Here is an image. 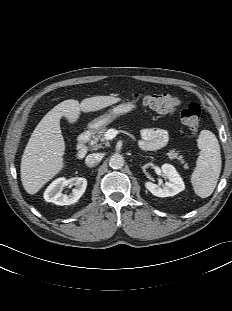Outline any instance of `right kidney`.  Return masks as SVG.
Returning a JSON list of instances; mask_svg holds the SVG:
<instances>
[{
    "label": "right kidney",
    "mask_w": 232,
    "mask_h": 311,
    "mask_svg": "<svg viewBox=\"0 0 232 311\" xmlns=\"http://www.w3.org/2000/svg\"><path fill=\"white\" fill-rule=\"evenodd\" d=\"M74 185L75 188L70 194H63L62 190L67 185ZM87 187V180L83 177L65 179L64 177L54 180L45 190L44 199L56 205H71L76 203L84 194Z\"/></svg>",
    "instance_id": "1"
}]
</instances>
